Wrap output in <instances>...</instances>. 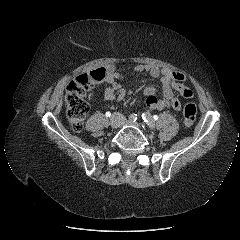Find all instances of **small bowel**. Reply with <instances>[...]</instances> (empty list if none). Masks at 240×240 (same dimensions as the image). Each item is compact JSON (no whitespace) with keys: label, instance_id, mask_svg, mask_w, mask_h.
<instances>
[{"label":"small bowel","instance_id":"small-bowel-1","mask_svg":"<svg viewBox=\"0 0 240 240\" xmlns=\"http://www.w3.org/2000/svg\"><path fill=\"white\" fill-rule=\"evenodd\" d=\"M105 82L109 85L103 94L104 101H119L124 96V89L120 81L125 79V76L118 73L114 64H109L105 68ZM133 71L137 74L148 73L150 76L160 77L162 97H157L158 89L149 86L144 89L146 105L153 110H163L172 108L179 111L181 103L175 97L174 91H178L185 99L194 98L193 92L182 82L184 75L180 72L173 71L167 68H159L154 64H141L134 67Z\"/></svg>","mask_w":240,"mask_h":240}]
</instances>
